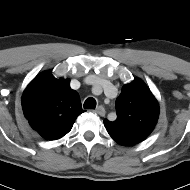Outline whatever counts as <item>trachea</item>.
I'll list each match as a JSON object with an SVG mask.
<instances>
[{
    "label": "trachea",
    "mask_w": 190,
    "mask_h": 190,
    "mask_svg": "<svg viewBox=\"0 0 190 190\" xmlns=\"http://www.w3.org/2000/svg\"><path fill=\"white\" fill-rule=\"evenodd\" d=\"M96 107V100L92 97H89L84 102V108L86 109H95Z\"/></svg>",
    "instance_id": "3493384b"
}]
</instances>
